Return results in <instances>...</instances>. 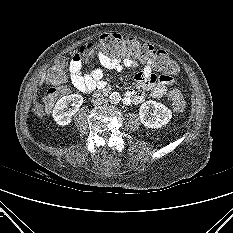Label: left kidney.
<instances>
[{"label": "left kidney", "mask_w": 233, "mask_h": 233, "mask_svg": "<svg viewBox=\"0 0 233 233\" xmlns=\"http://www.w3.org/2000/svg\"><path fill=\"white\" fill-rule=\"evenodd\" d=\"M150 110L153 113L150 114ZM139 118L147 128H160L172 118V112L165 105L156 101H146L140 106Z\"/></svg>", "instance_id": "5707ae66"}]
</instances>
